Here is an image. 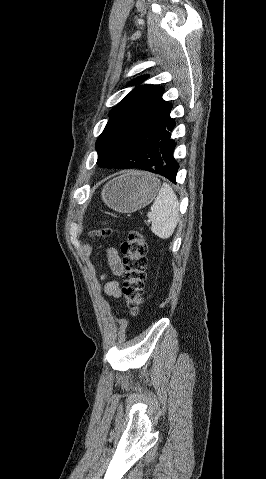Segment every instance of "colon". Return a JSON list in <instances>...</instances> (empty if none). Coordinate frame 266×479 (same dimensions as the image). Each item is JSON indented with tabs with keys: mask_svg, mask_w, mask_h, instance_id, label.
I'll use <instances>...</instances> for the list:
<instances>
[{
	"mask_svg": "<svg viewBox=\"0 0 266 479\" xmlns=\"http://www.w3.org/2000/svg\"><path fill=\"white\" fill-rule=\"evenodd\" d=\"M112 229L103 227L94 230L91 235L107 237L112 235ZM124 255V280L122 294L130 313H138L144 302V287L147 266V243L145 235L138 230H131L121 245Z\"/></svg>",
	"mask_w": 266,
	"mask_h": 479,
	"instance_id": "obj_1",
	"label": "colon"
}]
</instances>
